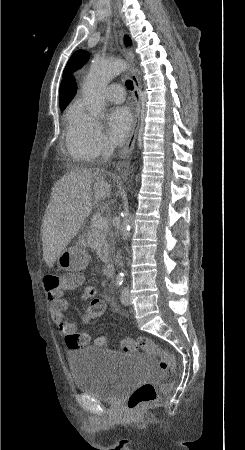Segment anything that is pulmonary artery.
<instances>
[{
	"mask_svg": "<svg viewBox=\"0 0 245 450\" xmlns=\"http://www.w3.org/2000/svg\"><path fill=\"white\" fill-rule=\"evenodd\" d=\"M106 97L110 102L122 103L124 101V87L120 83L112 82L106 87Z\"/></svg>",
	"mask_w": 245,
	"mask_h": 450,
	"instance_id": "e3ab8cb5",
	"label": "pulmonary artery"
}]
</instances>
